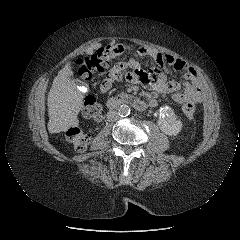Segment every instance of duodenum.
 <instances>
[{"instance_id": "obj_1", "label": "duodenum", "mask_w": 240, "mask_h": 240, "mask_svg": "<svg viewBox=\"0 0 240 240\" xmlns=\"http://www.w3.org/2000/svg\"><path fill=\"white\" fill-rule=\"evenodd\" d=\"M123 103H124V100H122V99L112 98V99L108 100L107 108L109 110H113V109H116L117 107H119L120 105H122ZM130 103L132 104V106L135 109H137L139 111H144L147 108L146 102H144L138 98L131 99Z\"/></svg>"}]
</instances>
